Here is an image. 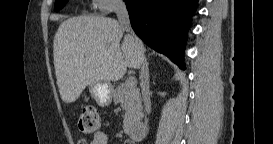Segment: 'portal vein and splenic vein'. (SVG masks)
<instances>
[{
	"mask_svg": "<svg viewBox=\"0 0 273 144\" xmlns=\"http://www.w3.org/2000/svg\"><path fill=\"white\" fill-rule=\"evenodd\" d=\"M126 82L129 87L136 86V79L134 77H129Z\"/></svg>",
	"mask_w": 273,
	"mask_h": 144,
	"instance_id": "18ae733b",
	"label": "portal vein and splenic vein"
}]
</instances>
